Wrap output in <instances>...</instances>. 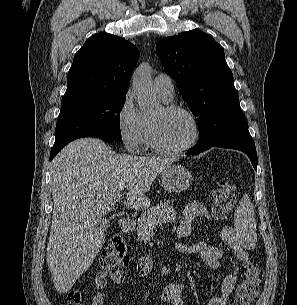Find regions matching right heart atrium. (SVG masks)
Returning <instances> with one entry per match:
<instances>
[{
  "mask_svg": "<svg viewBox=\"0 0 297 305\" xmlns=\"http://www.w3.org/2000/svg\"><path fill=\"white\" fill-rule=\"evenodd\" d=\"M144 128L143 115L136 108L132 92L128 90L117 111V129L129 152H136L142 146Z\"/></svg>",
  "mask_w": 297,
  "mask_h": 305,
  "instance_id": "obj_1",
  "label": "right heart atrium"
}]
</instances>
